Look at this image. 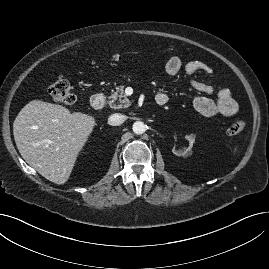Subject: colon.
Segmentation results:
<instances>
[{"mask_svg": "<svg viewBox=\"0 0 269 269\" xmlns=\"http://www.w3.org/2000/svg\"><path fill=\"white\" fill-rule=\"evenodd\" d=\"M113 58L118 59L119 54H115ZM49 94L52 99L59 104L72 105L76 101V95L73 91L72 85L68 80L62 77H58L50 85ZM246 128V122L240 119H236L228 125L225 134L228 136H234L243 132Z\"/></svg>", "mask_w": 269, "mask_h": 269, "instance_id": "colon-1", "label": "colon"}]
</instances>
